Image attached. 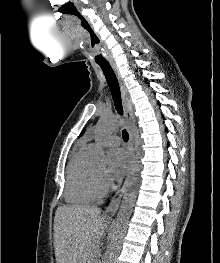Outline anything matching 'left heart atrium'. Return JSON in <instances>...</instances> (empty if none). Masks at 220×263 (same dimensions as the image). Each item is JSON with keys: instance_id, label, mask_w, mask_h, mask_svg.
I'll list each match as a JSON object with an SVG mask.
<instances>
[{"instance_id": "obj_1", "label": "left heart atrium", "mask_w": 220, "mask_h": 263, "mask_svg": "<svg viewBox=\"0 0 220 263\" xmlns=\"http://www.w3.org/2000/svg\"><path fill=\"white\" fill-rule=\"evenodd\" d=\"M128 157L121 149L112 150L109 154V164L106 178L109 182L121 179L128 168Z\"/></svg>"}]
</instances>
